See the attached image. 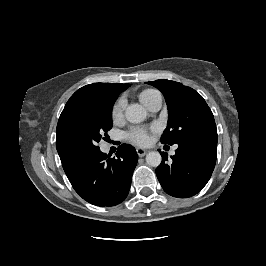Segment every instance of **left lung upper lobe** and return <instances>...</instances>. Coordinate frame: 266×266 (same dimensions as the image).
Listing matches in <instances>:
<instances>
[{"label":"left lung upper lobe","mask_w":266,"mask_h":266,"mask_svg":"<svg viewBox=\"0 0 266 266\" xmlns=\"http://www.w3.org/2000/svg\"><path fill=\"white\" fill-rule=\"evenodd\" d=\"M158 88L168 106V124L161 142L169 145L201 139H216L213 113L203 97L179 82L160 79L146 82Z\"/></svg>","instance_id":"5c2ea615"}]
</instances>
